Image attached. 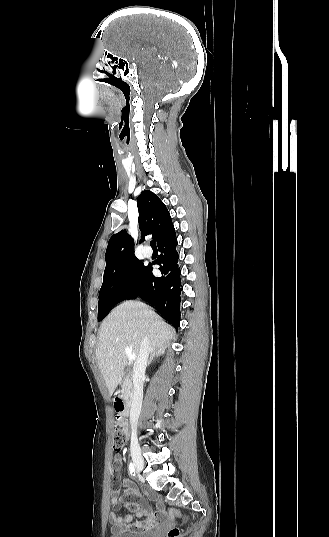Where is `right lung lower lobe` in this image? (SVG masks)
I'll return each mask as SVG.
<instances>
[{
  "label": "right lung lower lobe",
  "mask_w": 329,
  "mask_h": 537,
  "mask_svg": "<svg viewBox=\"0 0 329 537\" xmlns=\"http://www.w3.org/2000/svg\"><path fill=\"white\" fill-rule=\"evenodd\" d=\"M160 256L153 262L159 265L162 276L152 274V264L145 266L139 285L127 299L141 298L156 308L165 320L177 327L180 322L181 272L178 266L177 240L175 229L158 243Z\"/></svg>",
  "instance_id": "98d812e1"
}]
</instances>
